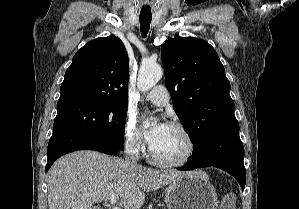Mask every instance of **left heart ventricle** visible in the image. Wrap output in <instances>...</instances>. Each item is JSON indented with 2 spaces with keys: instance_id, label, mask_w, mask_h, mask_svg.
Returning a JSON list of instances; mask_svg holds the SVG:
<instances>
[{
  "instance_id": "1",
  "label": "left heart ventricle",
  "mask_w": 299,
  "mask_h": 209,
  "mask_svg": "<svg viewBox=\"0 0 299 209\" xmlns=\"http://www.w3.org/2000/svg\"><path fill=\"white\" fill-rule=\"evenodd\" d=\"M151 149L158 158L173 161L182 158L186 153L187 142L179 131L167 126Z\"/></svg>"
}]
</instances>
